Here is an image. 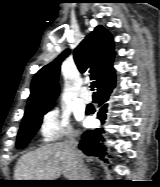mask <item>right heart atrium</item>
Masks as SVG:
<instances>
[{
	"label": "right heart atrium",
	"instance_id": "right-heart-atrium-1",
	"mask_svg": "<svg viewBox=\"0 0 160 187\" xmlns=\"http://www.w3.org/2000/svg\"><path fill=\"white\" fill-rule=\"evenodd\" d=\"M39 132L44 142H69L76 137L69 114L59 108H52L45 113Z\"/></svg>",
	"mask_w": 160,
	"mask_h": 187
}]
</instances>
